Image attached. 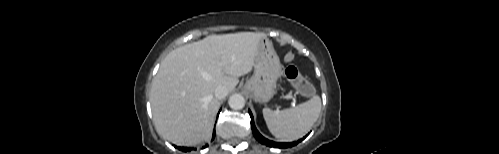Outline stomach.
Returning a JSON list of instances; mask_svg holds the SVG:
<instances>
[{"label": "stomach", "instance_id": "0dacf381", "mask_svg": "<svg viewBox=\"0 0 499 154\" xmlns=\"http://www.w3.org/2000/svg\"><path fill=\"white\" fill-rule=\"evenodd\" d=\"M280 76L279 57L272 43L267 38L262 39L254 64V74L246 82L244 88L253 100L265 103L273 97L276 82Z\"/></svg>", "mask_w": 499, "mask_h": 154}]
</instances>
